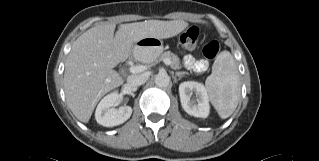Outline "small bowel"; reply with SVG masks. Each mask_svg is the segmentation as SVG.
Here are the masks:
<instances>
[{
  "instance_id": "1",
  "label": "small bowel",
  "mask_w": 319,
  "mask_h": 161,
  "mask_svg": "<svg viewBox=\"0 0 319 161\" xmlns=\"http://www.w3.org/2000/svg\"><path fill=\"white\" fill-rule=\"evenodd\" d=\"M183 66L194 70H204L207 66L206 62L201 59H196L190 54H185L182 59Z\"/></svg>"
}]
</instances>
